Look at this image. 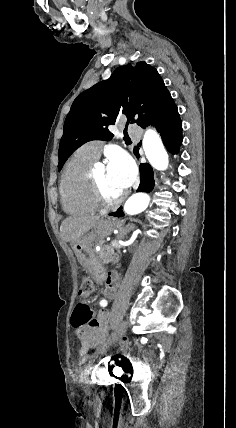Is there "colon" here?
I'll return each instance as SVG.
<instances>
[{
	"label": "colon",
	"mask_w": 236,
	"mask_h": 428,
	"mask_svg": "<svg viewBox=\"0 0 236 428\" xmlns=\"http://www.w3.org/2000/svg\"><path fill=\"white\" fill-rule=\"evenodd\" d=\"M93 291V283L89 278H82L80 282L79 295L87 298ZM96 325L97 320L86 303H80L72 313L71 325L75 332H80L84 325Z\"/></svg>",
	"instance_id": "1"
}]
</instances>
